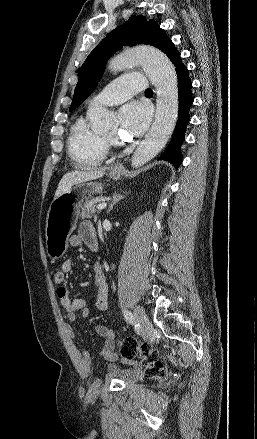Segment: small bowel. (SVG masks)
I'll list each match as a JSON object with an SVG mask.
<instances>
[{
  "mask_svg": "<svg viewBox=\"0 0 257 439\" xmlns=\"http://www.w3.org/2000/svg\"><path fill=\"white\" fill-rule=\"evenodd\" d=\"M86 244L91 250H96L98 246V237L93 225L84 221L81 223L77 233L70 237V244L74 247L81 244ZM73 269V262L71 260H65L61 265V270L64 274H68ZM94 284L97 288V296L94 307L98 311H105L108 307V287L106 283L105 274L99 263H95L93 266ZM57 296L60 300L62 308L67 313V319L71 322L75 321L77 314L82 317H86L89 314V308L85 300L81 298H71L69 291L66 287L61 286L56 290ZM96 333L103 337L105 344L100 352V356L108 362H114L119 359V355L115 346V333L112 329L97 325L95 327ZM68 334L71 338L75 337V332L71 327L68 328ZM129 365L128 369H117L115 366L109 364L106 369L108 375L112 378L123 380L124 382H137L142 379L143 372L141 366L130 360H123ZM81 367L85 374L91 371L92 360L88 351L83 350L81 352Z\"/></svg>",
  "mask_w": 257,
  "mask_h": 439,
  "instance_id": "1",
  "label": "small bowel"
}]
</instances>
